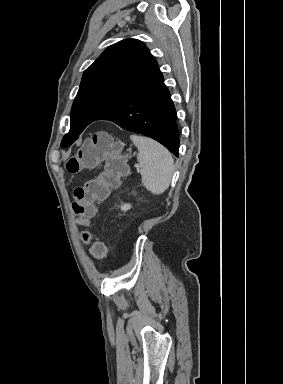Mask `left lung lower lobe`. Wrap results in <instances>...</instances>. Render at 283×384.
<instances>
[{
    "label": "left lung lower lobe",
    "mask_w": 283,
    "mask_h": 384,
    "mask_svg": "<svg viewBox=\"0 0 283 384\" xmlns=\"http://www.w3.org/2000/svg\"><path fill=\"white\" fill-rule=\"evenodd\" d=\"M176 110L157 68L120 103L96 120H110L121 128L151 137L178 156Z\"/></svg>",
    "instance_id": "1"
}]
</instances>
